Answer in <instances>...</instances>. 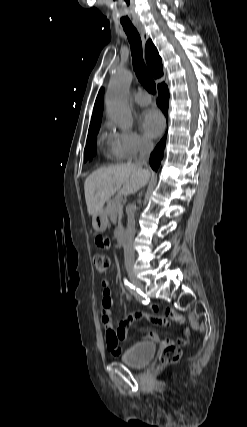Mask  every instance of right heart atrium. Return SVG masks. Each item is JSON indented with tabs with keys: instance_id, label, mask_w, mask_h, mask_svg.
I'll use <instances>...</instances> for the list:
<instances>
[{
	"instance_id": "obj_1",
	"label": "right heart atrium",
	"mask_w": 247,
	"mask_h": 427,
	"mask_svg": "<svg viewBox=\"0 0 247 427\" xmlns=\"http://www.w3.org/2000/svg\"><path fill=\"white\" fill-rule=\"evenodd\" d=\"M109 144L112 155L118 160H130L151 149V141L132 129L117 130L109 126Z\"/></svg>"
}]
</instances>
